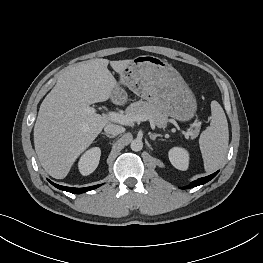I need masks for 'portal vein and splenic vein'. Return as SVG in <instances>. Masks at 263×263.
<instances>
[{"mask_svg": "<svg viewBox=\"0 0 263 263\" xmlns=\"http://www.w3.org/2000/svg\"><path fill=\"white\" fill-rule=\"evenodd\" d=\"M85 112L86 113H94L95 112V108L93 107H86L85 108ZM107 116L109 117V119H111L112 121L122 124V125H130L132 124L133 121H145V120H149L150 122L154 123L153 119H151V117L146 116V115H137L136 117H130L128 115H123L117 112H113L110 111L108 112ZM186 137L188 136H193V132L192 131H186L183 133Z\"/></svg>", "mask_w": 263, "mask_h": 263, "instance_id": "1", "label": "portal vein and splenic vein"}]
</instances>
